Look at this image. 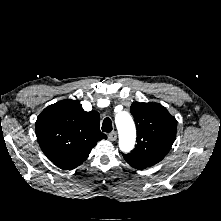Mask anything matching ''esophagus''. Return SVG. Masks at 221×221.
I'll use <instances>...</instances> for the list:
<instances>
[{"label":"esophagus","instance_id":"esophagus-1","mask_svg":"<svg viewBox=\"0 0 221 221\" xmlns=\"http://www.w3.org/2000/svg\"><path fill=\"white\" fill-rule=\"evenodd\" d=\"M108 139L110 140V141H115L116 139H117V133L116 132H111V133H109L108 134Z\"/></svg>","mask_w":221,"mask_h":221}]
</instances>
